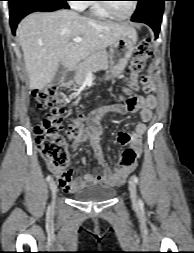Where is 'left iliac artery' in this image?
<instances>
[{
  "mask_svg": "<svg viewBox=\"0 0 194 253\" xmlns=\"http://www.w3.org/2000/svg\"><path fill=\"white\" fill-rule=\"evenodd\" d=\"M133 181L137 184L138 183V177L136 175H134L132 177ZM139 204L142 206L143 205V202L139 199Z\"/></svg>",
  "mask_w": 194,
  "mask_h": 253,
  "instance_id": "44dca946",
  "label": "left iliac artery"
}]
</instances>
